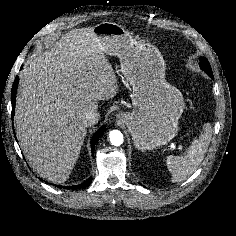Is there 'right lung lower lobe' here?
Returning a JSON list of instances; mask_svg holds the SVG:
<instances>
[{
    "mask_svg": "<svg viewBox=\"0 0 236 236\" xmlns=\"http://www.w3.org/2000/svg\"><path fill=\"white\" fill-rule=\"evenodd\" d=\"M18 81L19 78L16 77L13 87H12V92H11V103H12V118L14 116L15 113V100H16V92H17V86H18ZM105 131V126H102L94 135L92 141H91V149H92V154H94V147L95 144L97 142V140L99 139V137L103 134V132ZM92 182V178L90 177L88 180H86L85 182H83L82 184L79 185H75V186H71V187H66L69 189H80V188H85L88 185H90V183ZM60 188H65V186H57Z\"/></svg>",
    "mask_w": 236,
    "mask_h": 236,
    "instance_id": "1",
    "label": "right lung lower lobe"
}]
</instances>
